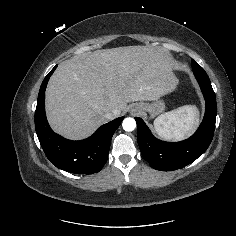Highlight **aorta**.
Listing matches in <instances>:
<instances>
[{"instance_id":"1","label":"aorta","mask_w":236,"mask_h":236,"mask_svg":"<svg viewBox=\"0 0 236 236\" xmlns=\"http://www.w3.org/2000/svg\"><path fill=\"white\" fill-rule=\"evenodd\" d=\"M123 129L125 131H133L136 128V121L133 118H125L122 122Z\"/></svg>"}]
</instances>
